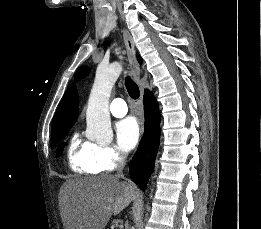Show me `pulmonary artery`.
<instances>
[{
	"instance_id": "obj_1",
	"label": "pulmonary artery",
	"mask_w": 261,
	"mask_h": 229,
	"mask_svg": "<svg viewBox=\"0 0 261 229\" xmlns=\"http://www.w3.org/2000/svg\"><path fill=\"white\" fill-rule=\"evenodd\" d=\"M110 112L115 117H123L127 114V106L122 99H115L110 105Z\"/></svg>"
}]
</instances>
